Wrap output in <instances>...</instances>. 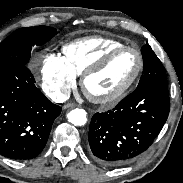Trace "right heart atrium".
Listing matches in <instances>:
<instances>
[{
    "label": "right heart atrium",
    "instance_id": "right-heart-atrium-1",
    "mask_svg": "<svg viewBox=\"0 0 183 183\" xmlns=\"http://www.w3.org/2000/svg\"><path fill=\"white\" fill-rule=\"evenodd\" d=\"M43 90L56 101L65 100L76 84V75L61 55L42 53L35 58Z\"/></svg>",
    "mask_w": 183,
    "mask_h": 183
}]
</instances>
